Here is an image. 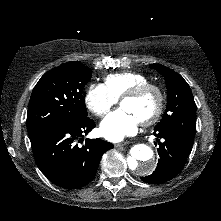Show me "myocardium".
<instances>
[{"label": "myocardium", "mask_w": 221, "mask_h": 221, "mask_svg": "<svg viewBox=\"0 0 221 221\" xmlns=\"http://www.w3.org/2000/svg\"><path fill=\"white\" fill-rule=\"evenodd\" d=\"M150 91L157 95V107L152 115L141 121V124L145 126L155 123L163 113L165 96L162 89L154 83L147 82L134 87L120 98V103H122L126 99L139 98Z\"/></svg>", "instance_id": "myocardium-1"}]
</instances>
